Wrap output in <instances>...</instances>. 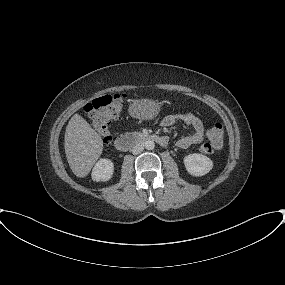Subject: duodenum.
<instances>
[{
    "instance_id": "410a0bca",
    "label": "duodenum",
    "mask_w": 285,
    "mask_h": 285,
    "mask_svg": "<svg viewBox=\"0 0 285 285\" xmlns=\"http://www.w3.org/2000/svg\"><path fill=\"white\" fill-rule=\"evenodd\" d=\"M146 141H154L161 146H165L168 143L166 137L156 134H126L117 137L114 146L118 151H127L134 145Z\"/></svg>"
}]
</instances>
